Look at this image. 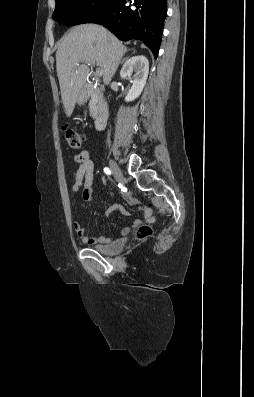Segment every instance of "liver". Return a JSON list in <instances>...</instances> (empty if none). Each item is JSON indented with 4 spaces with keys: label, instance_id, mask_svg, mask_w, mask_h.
Returning a JSON list of instances; mask_svg holds the SVG:
<instances>
[{
    "label": "liver",
    "instance_id": "liver-1",
    "mask_svg": "<svg viewBox=\"0 0 254 397\" xmlns=\"http://www.w3.org/2000/svg\"><path fill=\"white\" fill-rule=\"evenodd\" d=\"M127 48L104 27L95 24L74 27L56 52V70L65 114L70 117L78 94L86 83L89 68L77 64L93 60L103 71V82L110 83Z\"/></svg>",
    "mask_w": 254,
    "mask_h": 397
}]
</instances>
